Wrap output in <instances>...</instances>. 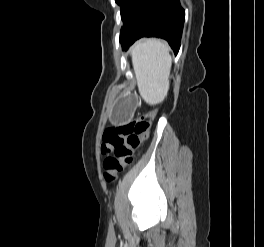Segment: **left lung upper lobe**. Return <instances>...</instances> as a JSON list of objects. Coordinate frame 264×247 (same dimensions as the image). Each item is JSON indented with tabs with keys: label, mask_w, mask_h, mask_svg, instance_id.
<instances>
[{
	"label": "left lung upper lobe",
	"mask_w": 264,
	"mask_h": 247,
	"mask_svg": "<svg viewBox=\"0 0 264 247\" xmlns=\"http://www.w3.org/2000/svg\"><path fill=\"white\" fill-rule=\"evenodd\" d=\"M120 5L121 19L123 20L124 26L121 29V33L131 19L139 11L145 0H115Z\"/></svg>",
	"instance_id": "obj_1"
}]
</instances>
